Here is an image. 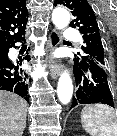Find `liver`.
Here are the masks:
<instances>
[{
    "label": "liver",
    "mask_w": 117,
    "mask_h": 136,
    "mask_svg": "<svg viewBox=\"0 0 117 136\" xmlns=\"http://www.w3.org/2000/svg\"><path fill=\"white\" fill-rule=\"evenodd\" d=\"M27 103L14 93L0 91V136H22Z\"/></svg>",
    "instance_id": "liver-1"
}]
</instances>
